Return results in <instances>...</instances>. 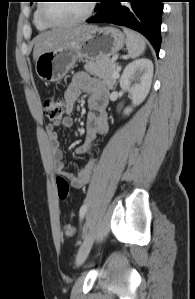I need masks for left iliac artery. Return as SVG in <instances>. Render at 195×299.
<instances>
[{"label":"left iliac artery","instance_id":"left-iliac-artery-1","mask_svg":"<svg viewBox=\"0 0 195 299\" xmlns=\"http://www.w3.org/2000/svg\"><path fill=\"white\" fill-rule=\"evenodd\" d=\"M86 210H87V205L86 204L82 205V207L80 208V212H79L80 219H83Z\"/></svg>","mask_w":195,"mask_h":299}]
</instances>
